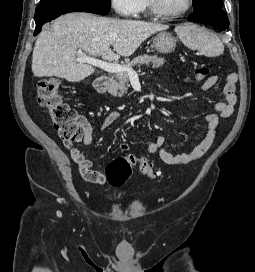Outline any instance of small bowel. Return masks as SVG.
Returning a JSON list of instances; mask_svg holds the SVG:
<instances>
[{
    "instance_id": "obj_1",
    "label": "small bowel",
    "mask_w": 255,
    "mask_h": 272,
    "mask_svg": "<svg viewBox=\"0 0 255 272\" xmlns=\"http://www.w3.org/2000/svg\"><path fill=\"white\" fill-rule=\"evenodd\" d=\"M219 80L218 75H211L201 85L202 90H209L214 87ZM238 81L236 73H230L227 75L226 83L223 88L224 101L217 102L214 105L215 112L209 113L205 116L207 122V131L204 134L201 141L189 152L174 153L168 149L163 148L166 141L165 136L159 135L151 142L147 148V152L150 154L157 153L161 161L169 165H184L194 160L201 158L212 146L219 128V120L221 118L229 117L234 110L237 103V96L235 93V86ZM122 116L119 111H112L108 113L100 123V129L104 130L111 126L117 119ZM84 125V139L85 146H90L93 142V128L92 126L83 121ZM66 148L69 149L71 159L78 165L79 172L85 181L98 185L106 183V176L94 169L93 161L87 158L77 147L71 143H64ZM121 151H128L130 146L127 142H121L119 145Z\"/></svg>"
}]
</instances>
